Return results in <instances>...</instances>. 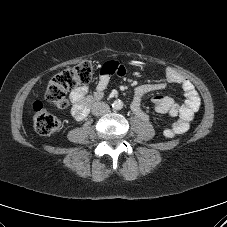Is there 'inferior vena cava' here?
I'll list each match as a JSON object with an SVG mask.
<instances>
[{
	"label": "inferior vena cava",
	"instance_id": "602c4592",
	"mask_svg": "<svg viewBox=\"0 0 227 227\" xmlns=\"http://www.w3.org/2000/svg\"><path fill=\"white\" fill-rule=\"evenodd\" d=\"M110 111V106L104 102H97L92 106V114L95 116H102Z\"/></svg>",
	"mask_w": 227,
	"mask_h": 227
}]
</instances>
